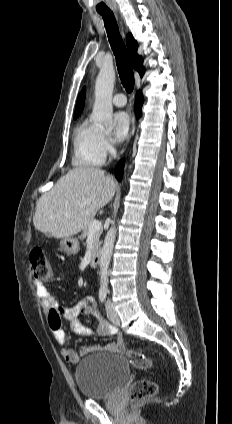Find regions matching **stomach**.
I'll use <instances>...</instances> for the list:
<instances>
[{
  "label": "stomach",
  "mask_w": 232,
  "mask_h": 424,
  "mask_svg": "<svg viewBox=\"0 0 232 424\" xmlns=\"http://www.w3.org/2000/svg\"><path fill=\"white\" fill-rule=\"evenodd\" d=\"M60 251L67 255H75L80 249L79 241L74 237H65L60 241Z\"/></svg>",
  "instance_id": "1"
}]
</instances>
